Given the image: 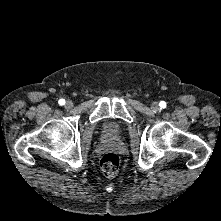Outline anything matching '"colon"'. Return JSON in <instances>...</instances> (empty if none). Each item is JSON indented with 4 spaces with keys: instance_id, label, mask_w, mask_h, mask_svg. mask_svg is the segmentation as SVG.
<instances>
[{
    "instance_id": "obj_1",
    "label": "colon",
    "mask_w": 221,
    "mask_h": 221,
    "mask_svg": "<svg viewBox=\"0 0 221 221\" xmlns=\"http://www.w3.org/2000/svg\"><path fill=\"white\" fill-rule=\"evenodd\" d=\"M119 166L120 160L114 153H107L100 160V168L106 178H113L117 174Z\"/></svg>"
}]
</instances>
